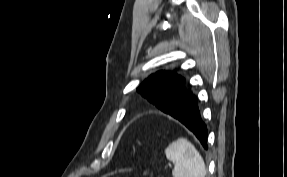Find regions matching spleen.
Instances as JSON below:
<instances>
[{
  "mask_svg": "<svg viewBox=\"0 0 287 177\" xmlns=\"http://www.w3.org/2000/svg\"><path fill=\"white\" fill-rule=\"evenodd\" d=\"M168 160L174 163L173 177H205L203 158L194 145L185 138H179L165 149Z\"/></svg>",
  "mask_w": 287,
  "mask_h": 177,
  "instance_id": "3e777b00",
  "label": "spleen"
}]
</instances>
